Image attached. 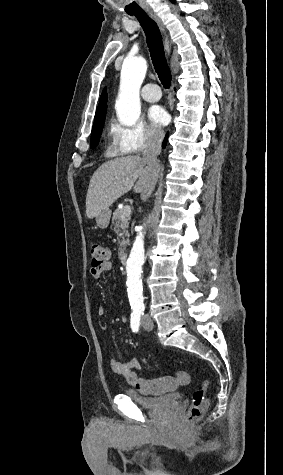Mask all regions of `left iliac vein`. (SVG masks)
<instances>
[{"instance_id": "4c4485c4", "label": "left iliac vein", "mask_w": 283, "mask_h": 475, "mask_svg": "<svg viewBox=\"0 0 283 475\" xmlns=\"http://www.w3.org/2000/svg\"><path fill=\"white\" fill-rule=\"evenodd\" d=\"M142 325L146 330H152L154 328V322L149 315H146L143 318Z\"/></svg>"}]
</instances>
